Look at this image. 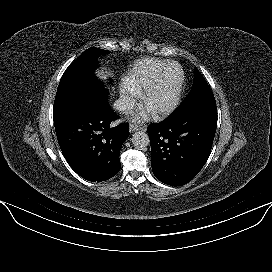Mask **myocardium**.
Wrapping results in <instances>:
<instances>
[{
    "mask_svg": "<svg viewBox=\"0 0 272 272\" xmlns=\"http://www.w3.org/2000/svg\"><path fill=\"white\" fill-rule=\"evenodd\" d=\"M173 67L178 68L179 73H180V76H179V79H178V82H177V85L175 88L174 96H173L172 101L168 105L152 111L153 114L157 117H162V116L170 114L178 107V105L180 103L183 88H184V83H185V73H184V70L182 69L181 65L176 62H170L169 64H167L160 71V73L157 75V77L154 79V81L149 86H147L145 88V90L143 91L142 96H141L142 103L145 106H147V103H148L151 95L160 86V84L162 83V81L165 78L168 71Z\"/></svg>",
    "mask_w": 272,
    "mask_h": 272,
    "instance_id": "myocardium-1",
    "label": "myocardium"
}]
</instances>
